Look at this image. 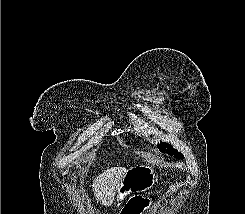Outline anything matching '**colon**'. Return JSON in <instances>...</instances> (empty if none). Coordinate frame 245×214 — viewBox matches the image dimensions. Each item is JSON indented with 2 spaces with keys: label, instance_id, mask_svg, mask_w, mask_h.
I'll use <instances>...</instances> for the list:
<instances>
[{
  "label": "colon",
  "instance_id": "obj_1",
  "mask_svg": "<svg viewBox=\"0 0 245 214\" xmlns=\"http://www.w3.org/2000/svg\"><path fill=\"white\" fill-rule=\"evenodd\" d=\"M148 205L147 200L143 199H132L129 202L127 209H125L122 214H137L140 213Z\"/></svg>",
  "mask_w": 245,
  "mask_h": 214
}]
</instances>
